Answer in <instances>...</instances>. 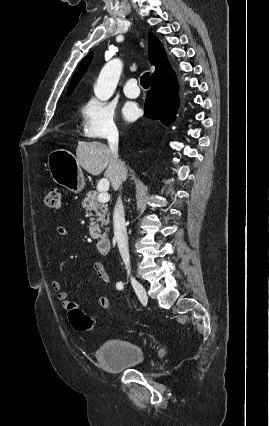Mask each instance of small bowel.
Listing matches in <instances>:
<instances>
[{
    "label": "small bowel",
    "instance_id": "c3829d8e",
    "mask_svg": "<svg viewBox=\"0 0 269 426\" xmlns=\"http://www.w3.org/2000/svg\"><path fill=\"white\" fill-rule=\"evenodd\" d=\"M68 234V230L65 226L63 225H59L55 228V230L51 233L52 237L55 238H64L66 237ZM93 269L95 274L97 275V277L107 286L111 285V277L108 274V272L106 271L104 265L100 262H97L93 265ZM51 287L54 290V292L56 293V297L57 300L59 301V303L61 304V306L66 309V310H70L72 307H76L78 306L77 303L71 301L68 298V295L65 291H63L61 289V284L59 281L52 279L51 282ZM120 284L123 285V283L120 282ZM96 304L104 309H108L112 306V301L111 299L107 298V297H98L95 300Z\"/></svg>",
    "mask_w": 269,
    "mask_h": 426
}]
</instances>
